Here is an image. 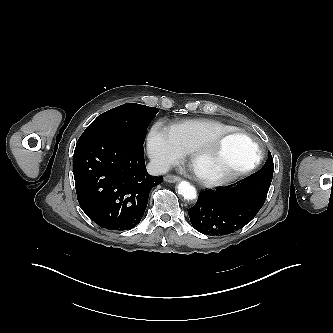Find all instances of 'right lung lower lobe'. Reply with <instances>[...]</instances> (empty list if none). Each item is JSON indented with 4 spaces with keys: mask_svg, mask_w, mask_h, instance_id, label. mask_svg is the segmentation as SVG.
Here are the masks:
<instances>
[{
    "mask_svg": "<svg viewBox=\"0 0 333 333\" xmlns=\"http://www.w3.org/2000/svg\"><path fill=\"white\" fill-rule=\"evenodd\" d=\"M143 143L114 135H86L74 151L78 202L85 214L109 230L139 224L150 189L163 177L147 173Z\"/></svg>",
    "mask_w": 333,
    "mask_h": 333,
    "instance_id": "obj_1",
    "label": "right lung lower lobe"
}]
</instances>
